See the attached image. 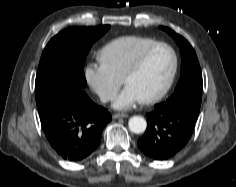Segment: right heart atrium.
Returning a JSON list of instances; mask_svg holds the SVG:
<instances>
[{"label":"right heart atrium","instance_id":"right-heart-atrium-1","mask_svg":"<svg viewBox=\"0 0 236 187\" xmlns=\"http://www.w3.org/2000/svg\"><path fill=\"white\" fill-rule=\"evenodd\" d=\"M84 76L88 86L103 102L112 101L122 83L120 78L100 63H88L84 69Z\"/></svg>","mask_w":236,"mask_h":187}]
</instances>
